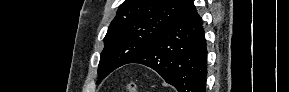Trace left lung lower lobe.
<instances>
[{
  "mask_svg": "<svg viewBox=\"0 0 289 92\" xmlns=\"http://www.w3.org/2000/svg\"><path fill=\"white\" fill-rule=\"evenodd\" d=\"M206 58L202 20L191 1L178 19L129 63L154 69L179 92H205Z\"/></svg>",
  "mask_w": 289,
  "mask_h": 92,
  "instance_id": "obj_1",
  "label": "left lung lower lobe"
}]
</instances>
